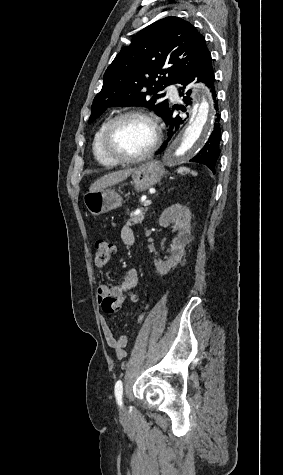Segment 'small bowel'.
Wrapping results in <instances>:
<instances>
[{
	"mask_svg": "<svg viewBox=\"0 0 283 475\" xmlns=\"http://www.w3.org/2000/svg\"><path fill=\"white\" fill-rule=\"evenodd\" d=\"M120 236L123 244L126 246H132L135 243V235L133 230L129 226H124L122 227L120 231ZM123 279H133L135 282V285L133 289L136 287L138 283V273L134 269H130L126 272L125 276ZM121 283L118 285H108L105 283H100L96 286L95 288V298L97 303L101 306V300H102V295L103 293H119ZM134 299L136 298L135 295L133 294ZM104 310V309H103ZM145 317L144 313H141L138 317V322L141 323ZM101 330L103 333V336L110 348H112L115 352V355L118 359H123L127 355V346L129 343V338L125 334H121L119 336H115L111 327L107 323L105 319H102L100 322Z\"/></svg>",
	"mask_w": 283,
	"mask_h": 475,
	"instance_id": "small-bowel-1",
	"label": "small bowel"
}]
</instances>
